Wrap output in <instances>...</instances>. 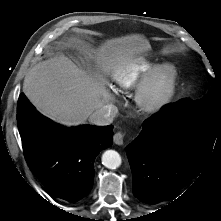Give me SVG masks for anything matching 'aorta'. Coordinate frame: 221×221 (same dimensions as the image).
Returning a JSON list of instances; mask_svg holds the SVG:
<instances>
[{
    "label": "aorta",
    "mask_w": 221,
    "mask_h": 221,
    "mask_svg": "<svg viewBox=\"0 0 221 221\" xmlns=\"http://www.w3.org/2000/svg\"><path fill=\"white\" fill-rule=\"evenodd\" d=\"M102 164L109 169H116L121 165V156L115 150H107L102 155Z\"/></svg>",
    "instance_id": "aorta-1"
}]
</instances>
